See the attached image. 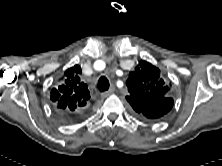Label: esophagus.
<instances>
[{"label":"esophagus","instance_id":"obj_1","mask_svg":"<svg viewBox=\"0 0 222 166\" xmlns=\"http://www.w3.org/2000/svg\"><path fill=\"white\" fill-rule=\"evenodd\" d=\"M114 90H115L114 86H111V88L108 91L101 93V97L102 98L108 97L109 95H111L114 92Z\"/></svg>","mask_w":222,"mask_h":166}]
</instances>
